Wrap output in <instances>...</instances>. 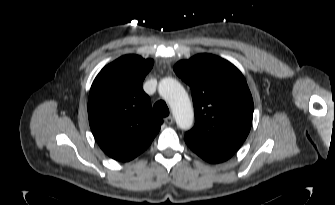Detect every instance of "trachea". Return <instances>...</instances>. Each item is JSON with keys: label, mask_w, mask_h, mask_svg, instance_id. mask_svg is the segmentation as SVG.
I'll return each mask as SVG.
<instances>
[{"label": "trachea", "mask_w": 335, "mask_h": 205, "mask_svg": "<svg viewBox=\"0 0 335 205\" xmlns=\"http://www.w3.org/2000/svg\"><path fill=\"white\" fill-rule=\"evenodd\" d=\"M153 111L162 117L169 115V109L163 100H159L154 104Z\"/></svg>", "instance_id": "3493384b"}]
</instances>
